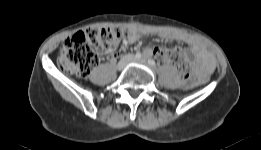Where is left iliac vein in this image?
Returning a JSON list of instances; mask_svg holds the SVG:
<instances>
[{"mask_svg":"<svg viewBox=\"0 0 261 150\" xmlns=\"http://www.w3.org/2000/svg\"><path fill=\"white\" fill-rule=\"evenodd\" d=\"M134 61L135 62H139V63H145L146 62L144 58H142V59H135Z\"/></svg>","mask_w":261,"mask_h":150,"instance_id":"1","label":"left iliac vein"}]
</instances>
